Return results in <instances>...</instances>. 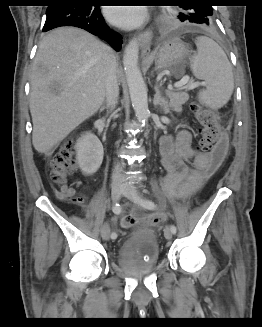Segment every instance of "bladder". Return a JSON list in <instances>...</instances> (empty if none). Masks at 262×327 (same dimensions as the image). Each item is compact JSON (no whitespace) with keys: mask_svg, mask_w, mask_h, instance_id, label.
<instances>
[{"mask_svg":"<svg viewBox=\"0 0 262 327\" xmlns=\"http://www.w3.org/2000/svg\"><path fill=\"white\" fill-rule=\"evenodd\" d=\"M137 254L149 258L150 264H156L160 259L158 237L149 230H140L131 233L120 245L118 256L121 260H129Z\"/></svg>","mask_w":262,"mask_h":327,"instance_id":"bladder-1","label":"bladder"}]
</instances>
